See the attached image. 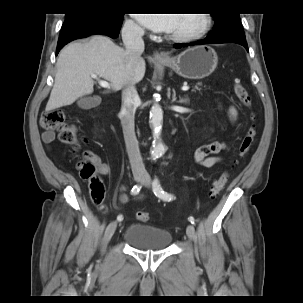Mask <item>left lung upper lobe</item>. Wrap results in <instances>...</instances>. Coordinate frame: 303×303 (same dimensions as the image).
<instances>
[{"instance_id": "5c2ea615", "label": "left lung upper lobe", "mask_w": 303, "mask_h": 303, "mask_svg": "<svg viewBox=\"0 0 303 303\" xmlns=\"http://www.w3.org/2000/svg\"><path fill=\"white\" fill-rule=\"evenodd\" d=\"M215 27L207 38L215 37H245L238 13L213 14Z\"/></svg>"}]
</instances>
